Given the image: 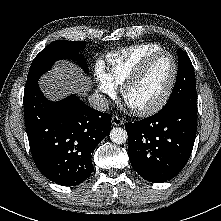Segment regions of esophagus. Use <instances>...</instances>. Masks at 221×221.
<instances>
[{"instance_id": "esophagus-1", "label": "esophagus", "mask_w": 221, "mask_h": 221, "mask_svg": "<svg viewBox=\"0 0 221 221\" xmlns=\"http://www.w3.org/2000/svg\"><path fill=\"white\" fill-rule=\"evenodd\" d=\"M112 123L115 126H120L124 123V121L121 118H119L117 115H113L112 116Z\"/></svg>"}]
</instances>
